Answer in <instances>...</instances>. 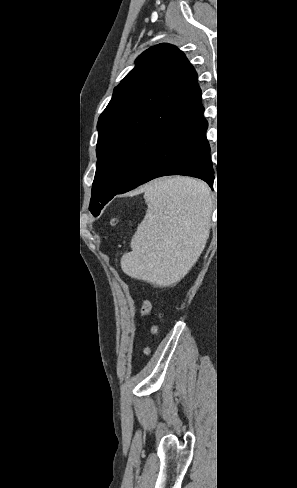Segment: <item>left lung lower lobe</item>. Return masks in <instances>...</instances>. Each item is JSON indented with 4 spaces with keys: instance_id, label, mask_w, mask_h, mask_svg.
Returning <instances> with one entry per match:
<instances>
[{
    "instance_id": "left-lung-lower-lobe-1",
    "label": "left lung lower lobe",
    "mask_w": 297,
    "mask_h": 488,
    "mask_svg": "<svg viewBox=\"0 0 297 488\" xmlns=\"http://www.w3.org/2000/svg\"><path fill=\"white\" fill-rule=\"evenodd\" d=\"M203 113L162 143L116 194L128 192L152 179L167 175L200 178L213 189L215 177L205 135L208 124Z\"/></svg>"
}]
</instances>
